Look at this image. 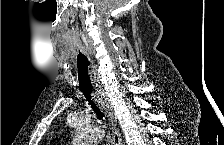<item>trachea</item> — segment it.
I'll list each match as a JSON object with an SVG mask.
<instances>
[{"mask_svg":"<svg viewBox=\"0 0 224 145\" xmlns=\"http://www.w3.org/2000/svg\"><path fill=\"white\" fill-rule=\"evenodd\" d=\"M78 67V80L80 84V91L84 94L92 109L96 113L99 119L103 118V113L97 105V102L93 98L94 89L92 87V82L90 78V68L87 58L79 53L77 58Z\"/></svg>","mask_w":224,"mask_h":145,"instance_id":"3493384b","label":"trachea"}]
</instances>
